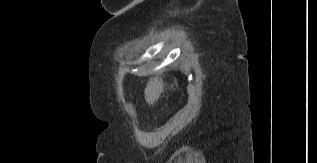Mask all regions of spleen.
<instances>
[{"label": "spleen", "mask_w": 317, "mask_h": 163, "mask_svg": "<svg viewBox=\"0 0 317 163\" xmlns=\"http://www.w3.org/2000/svg\"><path fill=\"white\" fill-rule=\"evenodd\" d=\"M164 86L165 85L162 78H151L148 81L147 87L145 89V96L147 101L153 103L155 100H157L160 94L163 92Z\"/></svg>", "instance_id": "1"}]
</instances>
